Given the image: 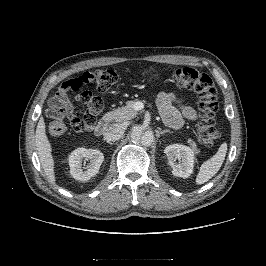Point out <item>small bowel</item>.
<instances>
[{"mask_svg": "<svg viewBox=\"0 0 266 266\" xmlns=\"http://www.w3.org/2000/svg\"><path fill=\"white\" fill-rule=\"evenodd\" d=\"M159 111L164 122L171 128H180L184 119L196 120L197 113L191 106L183 104L175 94L170 92H162L157 99ZM177 105L179 109H176ZM73 111V104L68 97L65 98L59 107V114L67 116Z\"/></svg>", "mask_w": 266, "mask_h": 266, "instance_id": "obj_1", "label": "small bowel"}]
</instances>
